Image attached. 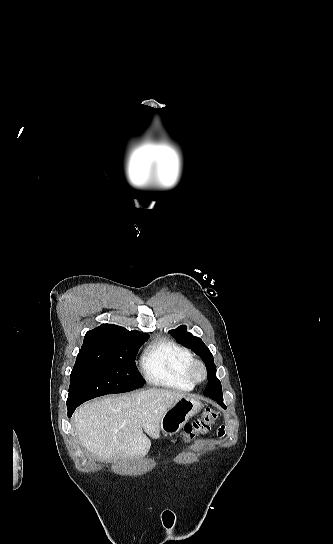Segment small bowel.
<instances>
[{"mask_svg": "<svg viewBox=\"0 0 333 544\" xmlns=\"http://www.w3.org/2000/svg\"><path fill=\"white\" fill-rule=\"evenodd\" d=\"M225 434V430H224V427H220L219 430H218V435L219 436H223Z\"/></svg>", "mask_w": 333, "mask_h": 544, "instance_id": "obj_1", "label": "small bowel"}]
</instances>
